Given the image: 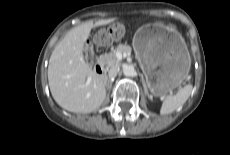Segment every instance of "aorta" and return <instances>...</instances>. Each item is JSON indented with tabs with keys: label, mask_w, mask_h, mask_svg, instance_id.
I'll use <instances>...</instances> for the list:
<instances>
[{
	"label": "aorta",
	"mask_w": 230,
	"mask_h": 155,
	"mask_svg": "<svg viewBox=\"0 0 230 155\" xmlns=\"http://www.w3.org/2000/svg\"><path fill=\"white\" fill-rule=\"evenodd\" d=\"M123 74L127 77H132L136 74L135 68L133 65H124Z\"/></svg>",
	"instance_id": "obj_1"
}]
</instances>
